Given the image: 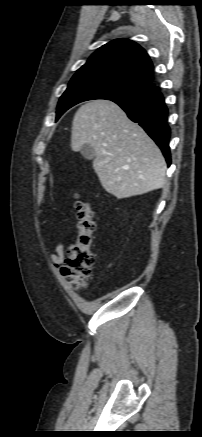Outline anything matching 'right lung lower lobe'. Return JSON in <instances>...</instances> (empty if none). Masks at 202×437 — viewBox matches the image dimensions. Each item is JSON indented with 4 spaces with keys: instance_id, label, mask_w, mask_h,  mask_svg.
<instances>
[{
    "instance_id": "98d812e1",
    "label": "right lung lower lobe",
    "mask_w": 202,
    "mask_h": 437,
    "mask_svg": "<svg viewBox=\"0 0 202 437\" xmlns=\"http://www.w3.org/2000/svg\"><path fill=\"white\" fill-rule=\"evenodd\" d=\"M112 101L117 103L132 121L144 128L160 147L169 166L171 158L168 142L171 131L167 125L168 109L159 88L154 85L143 94Z\"/></svg>"
}]
</instances>
